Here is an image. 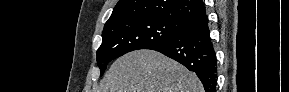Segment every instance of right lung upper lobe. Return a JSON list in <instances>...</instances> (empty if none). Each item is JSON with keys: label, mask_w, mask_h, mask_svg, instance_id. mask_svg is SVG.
Listing matches in <instances>:
<instances>
[{"label": "right lung upper lobe", "mask_w": 289, "mask_h": 92, "mask_svg": "<svg viewBox=\"0 0 289 92\" xmlns=\"http://www.w3.org/2000/svg\"><path fill=\"white\" fill-rule=\"evenodd\" d=\"M205 13L202 0H119L105 27L121 20L151 17L187 24Z\"/></svg>", "instance_id": "right-lung-upper-lobe-1"}]
</instances>
